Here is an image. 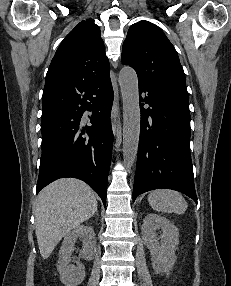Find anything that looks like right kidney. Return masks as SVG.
<instances>
[{
    "instance_id": "right-kidney-1",
    "label": "right kidney",
    "mask_w": 231,
    "mask_h": 286,
    "mask_svg": "<svg viewBox=\"0 0 231 286\" xmlns=\"http://www.w3.org/2000/svg\"><path fill=\"white\" fill-rule=\"evenodd\" d=\"M78 238L83 241L82 254L86 260H92L96 253V238L92 227L79 225L66 235L59 251L57 263L60 281L65 286H77L85 278V268L81 263L76 262L77 267L70 264L74 245Z\"/></svg>"
}]
</instances>
